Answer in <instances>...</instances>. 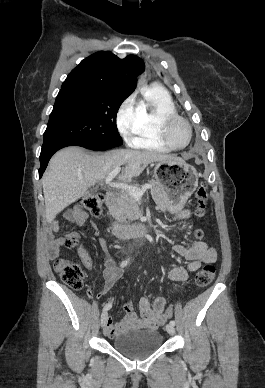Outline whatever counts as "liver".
<instances>
[{"label": "liver", "instance_id": "1", "mask_svg": "<svg viewBox=\"0 0 265 388\" xmlns=\"http://www.w3.org/2000/svg\"><path fill=\"white\" fill-rule=\"evenodd\" d=\"M181 162L182 158H172L158 152L140 150H113L102 156L84 154L82 148L69 146L54 154L42 178L46 206V222L52 224L55 216L87 194L90 186L103 182L118 166H124L118 180H131L140 176L151 162Z\"/></svg>", "mask_w": 265, "mask_h": 388}]
</instances>
